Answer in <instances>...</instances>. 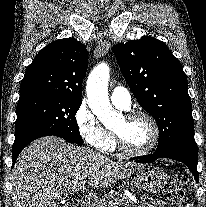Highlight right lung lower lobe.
Masks as SVG:
<instances>
[{"mask_svg":"<svg viewBox=\"0 0 206 207\" xmlns=\"http://www.w3.org/2000/svg\"><path fill=\"white\" fill-rule=\"evenodd\" d=\"M66 141H67V140H66ZM68 142H70V141H68ZM70 143H73V142H70ZM28 144H29V143H28ZM26 145H27V144H26ZM26 145H24V146H22V147H20V148H18V149H16V150H12V162H13V165L15 164V161H16L18 155L20 154V152L22 151V149H23ZM13 165H12V167H13Z\"/></svg>","mask_w":206,"mask_h":207,"instance_id":"1","label":"right lung lower lobe"}]
</instances>
